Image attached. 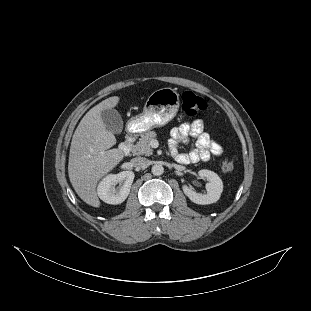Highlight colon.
Instances as JSON below:
<instances>
[{"label":"colon","mask_w":311,"mask_h":311,"mask_svg":"<svg viewBox=\"0 0 311 311\" xmlns=\"http://www.w3.org/2000/svg\"><path fill=\"white\" fill-rule=\"evenodd\" d=\"M182 111L187 116H195L196 114L206 109L205 100L194 94L191 91H186L182 95ZM234 161L231 158H226L222 162V170L224 172H230L234 169Z\"/></svg>","instance_id":"obj_1"}]
</instances>
